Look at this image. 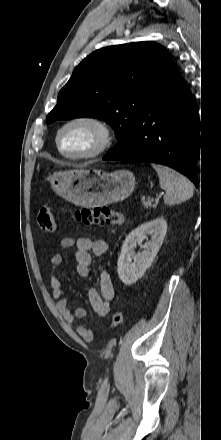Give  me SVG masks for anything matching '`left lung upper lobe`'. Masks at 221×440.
I'll use <instances>...</instances> for the list:
<instances>
[{
    "label": "left lung upper lobe",
    "instance_id": "obj_1",
    "mask_svg": "<svg viewBox=\"0 0 221 440\" xmlns=\"http://www.w3.org/2000/svg\"><path fill=\"white\" fill-rule=\"evenodd\" d=\"M176 73L170 53L154 42L99 49L74 69L47 123L76 117L104 120L119 141L107 153H121L145 107Z\"/></svg>",
    "mask_w": 221,
    "mask_h": 440
}]
</instances>
